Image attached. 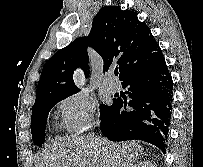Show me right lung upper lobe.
<instances>
[{
  "mask_svg": "<svg viewBox=\"0 0 203 167\" xmlns=\"http://www.w3.org/2000/svg\"><path fill=\"white\" fill-rule=\"evenodd\" d=\"M88 46L102 56L104 72L113 67L119 69L121 81L164 60L150 28L138 20L134 11L121 10L118 6L104 7L94 17L87 37L77 38L45 63L34 107L48 99L79 92L72 76L80 67L88 77Z\"/></svg>",
  "mask_w": 203,
  "mask_h": 167,
  "instance_id": "cb5924a9",
  "label": "right lung upper lobe"
}]
</instances>
